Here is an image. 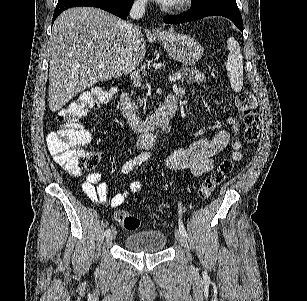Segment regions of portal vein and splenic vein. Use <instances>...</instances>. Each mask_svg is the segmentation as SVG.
Instances as JSON below:
<instances>
[{"instance_id":"1","label":"portal vein and splenic vein","mask_w":307,"mask_h":301,"mask_svg":"<svg viewBox=\"0 0 307 301\" xmlns=\"http://www.w3.org/2000/svg\"><path fill=\"white\" fill-rule=\"evenodd\" d=\"M170 80H173V82H175V80H178V78H181V74L180 72H177V74H174V76H169Z\"/></svg>"}]
</instances>
